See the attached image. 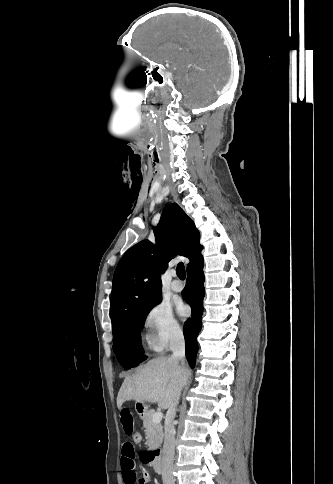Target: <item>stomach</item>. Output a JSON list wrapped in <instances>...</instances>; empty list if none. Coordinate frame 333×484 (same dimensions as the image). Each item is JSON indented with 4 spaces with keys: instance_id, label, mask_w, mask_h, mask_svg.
Returning <instances> with one entry per match:
<instances>
[{
    "instance_id": "0dacf381",
    "label": "stomach",
    "mask_w": 333,
    "mask_h": 484,
    "mask_svg": "<svg viewBox=\"0 0 333 484\" xmlns=\"http://www.w3.org/2000/svg\"><path fill=\"white\" fill-rule=\"evenodd\" d=\"M135 408H136L137 413L140 416L145 415V413L147 412V406H146L145 403H136Z\"/></svg>"
}]
</instances>
